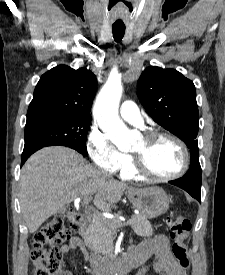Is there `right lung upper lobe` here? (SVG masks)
Wrapping results in <instances>:
<instances>
[{"label": "right lung upper lobe", "instance_id": "right-lung-upper-lobe-1", "mask_svg": "<svg viewBox=\"0 0 225 275\" xmlns=\"http://www.w3.org/2000/svg\"><path fill=\"white\" fill-rule=\"evenodd\" d=\"M96 90L97 80L90 70L58 65L41 76L27 117L43 114L89 116Z\"/></svg>", "mask_w": 225, "mask_h": 275}]
</instances>
